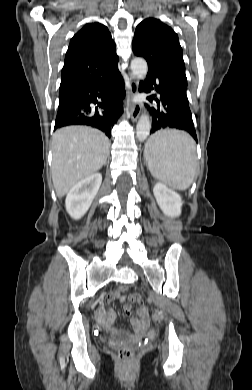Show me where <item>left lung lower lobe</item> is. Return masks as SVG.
<instances>
[{
    "instance_id": "left-lung-lower-lobe-1",
    "label": "left lung lower lobe",
    "mask_w": 252,
    "mask_h": 390,
    "mask_svg": "<svg viewBox=\"0 0 252 390\" xmlns=\"http://www.w3.org/2000/svg\"><path fill=\"white\" fill-rule=\"evenodd\" d=\"M155 89L159 93V98L155 95L147 99L155 100L157 108L149 107L153 115V124L150 133L161 129L176 128L185 130L197 141L192 114L186 94L187 86L180 83L175 78L148 70L146 82L140 85L139 90L149 93Z\"/></svg>"
}]
</instances>
